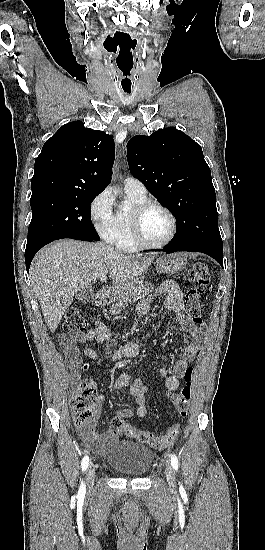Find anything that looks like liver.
Here are the masks:
<instances>
[{"label":"liver","mask_w":265,"mask_h":550,"mask_svg":"<svg viewBox=\"0 0 265 550\" xmlns=\"http://www.w3.org/2000/svg\"><path fill=\"white\" fill-rule=\"evenodd\" d=\"M153 257L125 255L102 242L59 240L35 256L30 275L44 319L54 332L79 290L109 274L121 295L149 267Z\"/></svg>","instance_id":"liver-1"}]
</instances>
